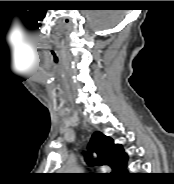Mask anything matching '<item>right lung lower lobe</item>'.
Returning <instances> with one entry per match:
<instances>
[{"mask_svg": "<svg viewBox=\"0 0 174 184\" xmlns=\"http://www.w3.org/2000/svg\"><path fill=\"white\" fill-rule=\"evenodd\" d=\"M125 167H126V163L123 165V167L119 170V172H118L117 174H118V175L126 174Z\"/></svg>", "mask_w": 174, "mask_h": 184, "instance_id": "right-lung-lower-lobe-1", "label": "right lung lower lobe"}]
</instances>
